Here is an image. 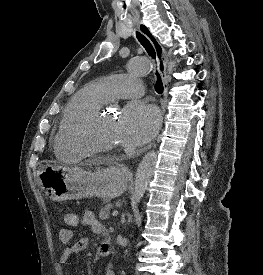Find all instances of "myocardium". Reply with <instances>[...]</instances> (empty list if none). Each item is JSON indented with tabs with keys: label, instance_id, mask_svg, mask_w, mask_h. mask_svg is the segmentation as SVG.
<instances>
[{
	"label": "myocardium",
	"instance_id": "obj_1",
	"mask_svg": "<svg viewBox=\"0 0 263 275\" xmlns=\"http://www.w3.org/2000/svg\"><path fill=\"white\" fill-rule=\"evenodd\" d=\"M107 112L106 106L102 105L87 114L71 131L70 137L73 142L89 154L108 153L119 148L118 144H107L95 138V130L101 117Z\"/></svg>",
	"mask_w": 263,
	"mask_h": 275
}]
</instances>
